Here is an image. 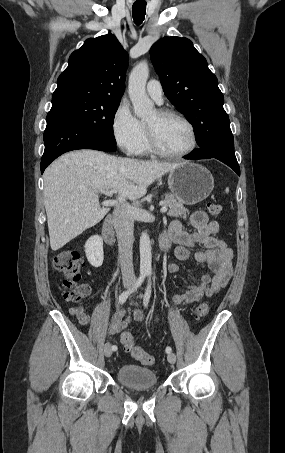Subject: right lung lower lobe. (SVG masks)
Segmentation results:
<instances>
[{
    "mask_svg": "<svg viewBox=\"0 0 285 453\" xmlns=\"http://www.w3.org/2000/svg\"><path fill=\"white\" fill-rule=\"evenodd\" d=\"M44 143L41 173L54 159L71 150L94 149L106 152L116 150V145L93 135L66 112L52 108L47 115Z\"/></svg>",
    "mask_w": 285,
    "mask_h": 453,
    "instance_id": "right-lung-lower-lobe-1",
    "label": "right lung lower lobe"
}]
</instances>
